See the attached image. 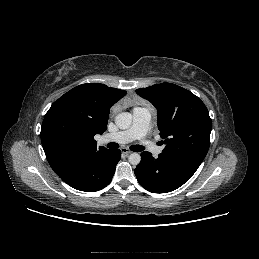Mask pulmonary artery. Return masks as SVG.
I'll return each instance as SVG.
<instances>
[{
	"label": "pulmonary artery",
	"mask_w": 259,
	"mask_h": 259,
	"mask_svg": "<svg viewBox=\"0 0 259 259\" xmlns=\"http://www.w3.org/2000/svg\"><path fill=\"white\" fill-rule=\"evenodd\" d=\"M132 126L126 130L106 134L103 136L105 142H117L120 144L129 143L133 140H140L143 146L151 150L154 155L161 154L163 148L154 145L150 140L146 139V134L151 119V112L146 107H136L133 109Z\"/></svg>",
	"instance_id": "e3ab8cb5"
}]
</instances>
